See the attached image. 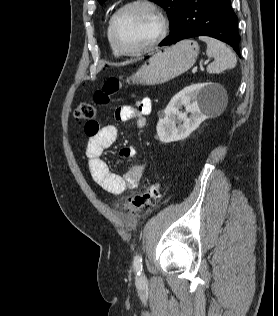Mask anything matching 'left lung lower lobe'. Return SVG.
I'll use <instances>...</instances> for the list:
<instances>
[{
  "mask_svg": "<svg viewBox=\"0 0 278 316\" xmlns=\"http://www.w3.org/2000/svg\"><path fill=\"white\" fill-rule=\"evenodd\" d=\"M195 36L221 40L240 56L237 16L230 0H185L174 29L159 45H170Z\"/></svg>",
  "mask_w": 278,
  "mask_h": 316,
  "instance_id": "1",
  "label": "left lung lower lobe"
}]
</instances>
